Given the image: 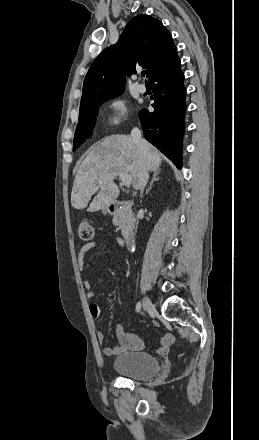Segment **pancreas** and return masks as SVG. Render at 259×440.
<instances>
[{
	"mask_svg": "<svg viewBox=\"0 0 259 440\" xmlns=\"http://www.w3.org/2000/svg\"><path fill=\"white\" fill-rule=\"evenodd\" d=\"M113 223L116 226H119L123 236H127L128 233L134 228L135 217L132 214V211L129 208H127L126 206H124L115 215V217L113 219Z\"/></svg>",
	"mask_w": 259,
	"mask_h": 440,
	"instance_id": "cf45deb5",
	"label": "pancreas"
}]
</instances>
